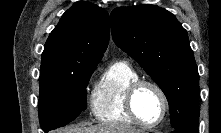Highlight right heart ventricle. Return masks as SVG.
I'll use <instances>...</instances> for the list:
<instances>
[{"label":"right heart ventricle","instance_id":"obj_1","mask_svg":"<svg viewBox=\"0 0 221 133\" xmlns=\"http://www.w3.org/2000/svg\"><path fill=\"white\" fill-rule=\"evenodd\" d=\"M139 79L137 71L125 61L110 65L91 95L94 117L105 123L134 124L135 121L126 110L125 96L128 87Z\"/></svg>","mask_w":221,"mask_h":133}]
</instances>
